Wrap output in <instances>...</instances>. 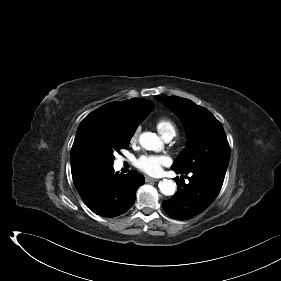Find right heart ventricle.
<instances>
[{
	"mask_svg": "<svg viewBox=\"0 0 281 281\" xmlns=\"http://www.w3.org/2000/svg\"><path fill=\"white\" fill-rule=\"evenodd\" d=\"M155 126L163 138H172L177 131L175 123L168 117L158 118L155 122Z\"/></svg>",
	"mask_w": 281,
	"mask_h": 281,
	"instance_id": "1",
	"label": "right heart ventricle"
}]
</instances>
